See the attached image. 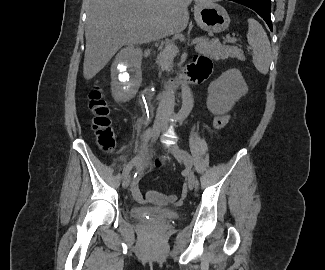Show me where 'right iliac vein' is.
Listing matches in <instances>:
<instances>
[{
	"label": "right iliac vein",
	"instance_id": "63e3f726",
	"mask_svg": "<svg viewBox=\"0 0 325 270\" xmlns=\"http://www.w3.org/2000/svg\"><path fill=\"white\" fill-rule=\"evenodd\" d=\"M162 129H163V125L160 122H156L154 124L153 129L151 131L152 140L155 139L159 135V133L162 131ZM139 164H140V161L137 163V165H139ZM130 181H131V178L129 175H127L123 180V183H122L123 187L127 188L130 184Z\"/></svg>",
	"mask_w": 325,
	"mask_h": 270
}]
</instances>
